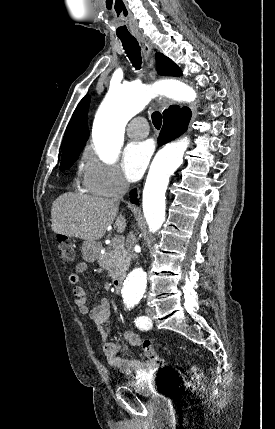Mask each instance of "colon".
Wrapping results in <instances>:
<instances>
[{"label":"colon","instance_id":"colon-1","mask_svg":"<svg viewBox=\"0 0 275 429\" xmlns=\"http://www.w3.org/2000/svg\"><path fill=\"white\" fill-rule=\"evenodd\" d=\"M58 255H59V258L64 263H69L74 260L75 247L73 243L67 238L58 239ZM143 349H144L145 355L150 361L158 365H161L163 363V359L156 353L150 341L146 342ZM201 379H202L201 369L198 366L193 365L189 372V378L184 380L182 383V389L188 392L195 391L198 388L201 382Z\"/></svg>","mask_w":275,"mask_h":429}]
</instances>
